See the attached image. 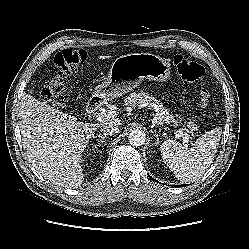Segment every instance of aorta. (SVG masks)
<instances>
[{
	"label": "aorta",
	"mask_w": 249,
	"mask_h": 249,
	"mask_svg": "<svg viewBox=\"0 0 249 249\" xmlns=\"http://www.w3.org/2000/svg\"><path fill=\"white\" fill-rule=\"evenodd\" d=\"M129 142L132 146H141L145 143L146 134L142 130H132L128 136Z\"/></svg>",
	"instance_id": "aorta-1"
}]
</instances>
